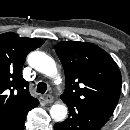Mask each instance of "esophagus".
I'll return each mask as SVG.
<instances>
[{
	"mask_svg": "<svg viewBox=\"0 0 130 130\" xmlns=\"http://www.w3.org/2000/svg\"><path fill=\"white\" fill-rule=\"evenodd\" d=\"M44 101H45L47 104H51V103H53L54 98H53V96H51V95H46V96L44 97Z\"/></svg>",
	"mask_w": 130,
	"mask_h": 130,
	"instance_id": "esophagus-1",
	"label": "esophagus"
}]
</instances>
